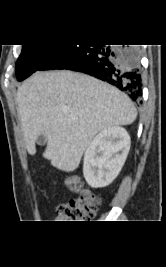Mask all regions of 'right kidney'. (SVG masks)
Masks as SVG:
<instances>
[{
	"label": "right kidney",
	"instance_id": "ca27d5eb",
	"mask_svg": "<svg viewBox=\"0 0 166 267\" xmlns=\"http://www.w3.org/2000/svg\"><path fill=\"white\" fill-rule=\"evenodd\" d=\"M130 149V136L119 126L102 130L89 144L83 174L94 188L109 185L121 171Z\"/></svg>",
	"mask_w": 166,
	"mask_h": 267
}]
</instances>
